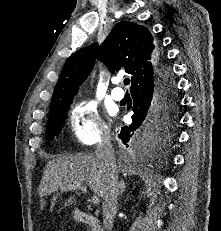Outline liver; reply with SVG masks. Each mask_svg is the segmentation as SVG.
<instances>
[{
  "label": "liver",
  "instance_id": "obj_1",
  "mask_svg": "<svg viewBox=\"0 0 221 231\" xmlns=\"http://www.w3.org/2000/svg\"><path fill=\"white\" fill-rule=\"evenodd\" d=\"M88 185L94 194L103 197L105 190V177L96 157L90 154H61L49 161L39 186V196L51 195L58 189L72 190L71 186ZM46 201L42 199L43 209ZM76 204L75 196H70L64 202V208Z\"/></svg>",
  "mask_w": 221,
  "mask_h": 231
}]
</instances>
